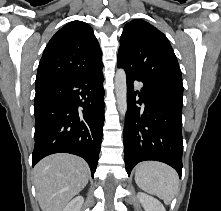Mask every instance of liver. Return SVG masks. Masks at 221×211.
Instances as JSON below:
<instances>
[{"instance_id": "obj_1", "label": "liver", "mask_w": 221, "mask_h": 211, "mask_svg": "<svg viewBox=\"0 0 221 211\" xmlns=\"http://www.w3.org/2000/svg\"><path fill=\"white\" fill-rule=\"evenodd\" d=\"M90 170L80 157L54 154L34 168V183L42 211H63L88 183Z\"/></svg>"}]
</instances>
